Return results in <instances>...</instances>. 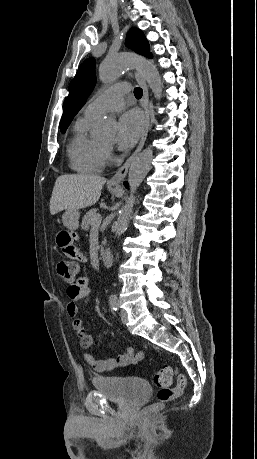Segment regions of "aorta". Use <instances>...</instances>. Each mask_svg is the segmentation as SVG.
<instances>
[{
    "label": "aorta",
    "instance_id": "1",
    "mask_svg": "<svg viewBox=\"0 0 257 459\" xmlns=\"http://www.w3.org/2000/svg\"><path fill=\"white\" fill-rule=\"evenodd\" d=\"M131 67H137L139 69L155 97L160 98L163 87L160 75L155 65L152 62L138 56L121 53L115 56L107 57L100 64L99 79L103 83L112 82ZM93 133L99 140H111L115 133L114 120L110 118L99 119L94 125ZM152 159L153 150L151 147H148L137 155L131 162L128 173L130 196L125 206L119 212L118 219L114 225L115 236L117 237H120L128 227L129 218L135 203V193L149 172Z\"/></svg>",
    "mask_w": 257,
    "mask_h": 459
}]
</instances>
